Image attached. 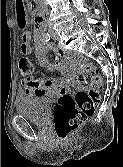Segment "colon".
Segmentation results:
<instances>
[{
    "instance_id": "obj_1",
    "label": "colon",
    "mask_w": 123,
    "mask_h": 167,
    "mask_svg": "<svg viewBox=\"0 0 123 167\" xmlns=\"http://www.w3.org/2000/svg\"><path fill=\"white\" fill-rule=\"evenodd\" d=\"M19 69L22 75H29L32 72L31 61L28 58H21ZM79 82L80 88L73 94L60 95L54 109L55 131L61 140L68 139L83 125L100 102V91L104 86L103 78L91 62H80Z\"/></svg>"
}]
</instances>
